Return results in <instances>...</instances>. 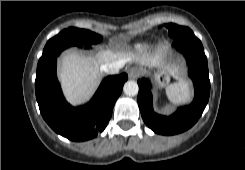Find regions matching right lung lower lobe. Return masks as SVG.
Listing matches in <instances>:
<instances>
[{
  "mask_svg": "<svg viewBox=\"0 0 245 170\" xmlns=\"http://www.w3.org/2000/svg\"><path fill=\"white\" fill-rule=\"evenodd\" d=\"M58 49L38 62L35 91L42 117L58 134L72 141H85L97 136L107 126L114 104L122 92L127 74L106 77L92 100L82 107L69 105L56 76Z\"/></svg>",
  "mask_w": 245,
  "mask_h": 170,
  "instance_id": "98d812e1",
  "label": "right lung lower lobe"
}]
</instances>
